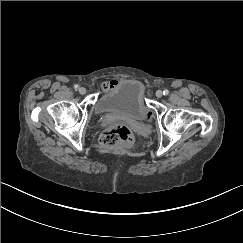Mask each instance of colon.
<instances>
[{
  "label": "colon",
  "instance_id": "5ec220e1",
  "mask_svg": "<svg viewBox=\"0 0 243 243\" xmlns=\"http://www.w3.org/2000/svg\"><path fill=\"white\" fill-rule=\"evenodd\" d=\"M132 140V132L125 125H114L107 129L100 138V143L105 148H114Z\"/></svg>",
  "mask_w": 243,
  "mask_h": 243
}]
</instances>
